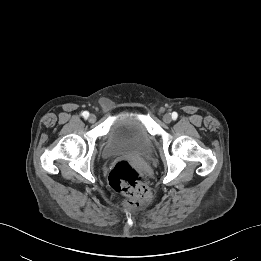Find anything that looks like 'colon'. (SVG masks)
I'll return each mask as SVG.
<instances>
[{"instance_id": "obj_1", "label": "colon", "mask_w": 261, "mask_h": 261, "mask_svg": "<svg viewBox=\"0 0 261 261\" xmlns=\"http://www.w3.org/2000/svg\"><path fill=\"white\" fill-rule=\"evenodd\" d=\"M108 180L116 192L126 197L129 206H140L150 197L145 175L126 160L114 165Z\"/></svg>"}]
</instances>
